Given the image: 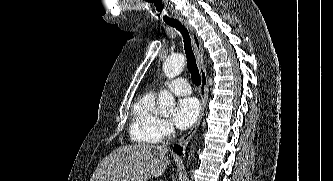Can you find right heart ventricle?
I'll list each match as a JSON object with an SVG mask.
<instances>
[{
	"mask_svg": "<svg viewBox=\"0 0 333 181\" xmlns=\"http://www.w3.org/2000/svg\"><path fill=\"white\" fill-rule=\"evenodd\" d=\"M160 117L156 112L155 95L146 93L139 97L132 107L130 136L133 141L154 144L161 140L158 134Z\"/></svg>",
	"mask_w": 333,
	"mask_h": 181,
	"instance_id": "right-heart-ventricle-1",
	"label": "right heart ventricle"
}]
</instances>
